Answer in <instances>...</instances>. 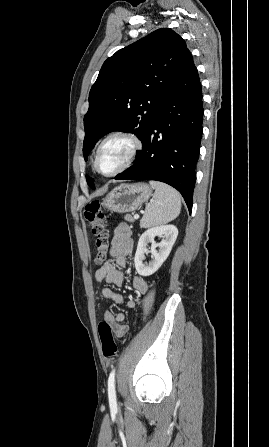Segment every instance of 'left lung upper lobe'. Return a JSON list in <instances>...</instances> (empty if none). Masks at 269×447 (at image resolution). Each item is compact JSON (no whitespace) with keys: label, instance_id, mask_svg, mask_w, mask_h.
Returning <instances> with one entry per match:
<instances>
[{"label":"left lung upper lobe","instance_id":"obj_1","mask_svg":"<svg viewBox=\"0 0 269 447\" xmlns=\"http://www.w3.org/2000/svg\"><path fill=\"white\" fill-rule=\"evenodd\" d=\"M187 51L177 33L162 28L104 62L90 90L89 110L84 116L85 160L96 142L112 131L134 133L144 143ZM87 183L95 189L91 177Z\"/></svg>","mask_w":269,"mask_h":447}]
</instances>
